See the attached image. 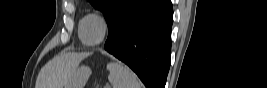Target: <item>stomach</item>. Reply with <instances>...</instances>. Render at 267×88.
<instances>
[{"label":"stomach","instance_id":"stomach-1","mask_svg":"<svg viewBox=\"0 0 267 88\" xmlns=\"http://www.w3.org/2000/svg\"><path fill=\"white\" fill-rule=\"evenodd\" d=\"M91 74V69L87 66H81L73 73L65 88H83Z\"/></svg>","mask_w":267,"mask_h":88}]
</instances>
